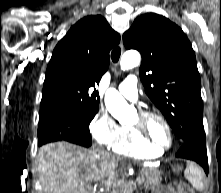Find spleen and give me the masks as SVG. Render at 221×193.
I'll return each instance as SVG.
<instances>
[{"mask_svg":"<svg viewBox=\"0 0 221 193\" xmlns=\"http://www.w3.org/2000/svg\"><path fill=\"white\" fill-rule=\"evenodd\" d=\"M186 179L195 190L202 191L204 188V173L202 169L193 162H188L184 173Z\"/></svg>","mask_w":221,"mask_h":193,"instance_id":"obj_1","label":"spleen"}]
</instances>
